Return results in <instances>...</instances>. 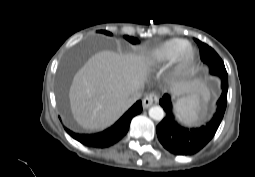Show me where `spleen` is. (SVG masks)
<instances>
[{"instance_id": "3e777b00", "label": "spleen", "mask_w": 255, "mask_h": 177, "mask_svg": "<svg viewBox=\"0 0 255 177\" xmlns=\"http://www.w3.org/2000/svg\"><path fill=\"white\" fill-rule=\"evenodd\" d=\"M198 100L195 97L181 99L176 104V109L180 117L185 122H191L197 117Z\"/></svg>"}]
</instances>
